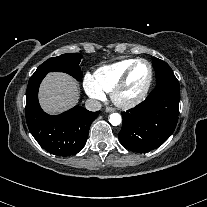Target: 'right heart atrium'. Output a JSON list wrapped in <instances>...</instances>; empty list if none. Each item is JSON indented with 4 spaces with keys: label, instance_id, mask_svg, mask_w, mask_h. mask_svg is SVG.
Wrapping results in <instances>:
<instances>
[{
    "label": "right heart atrium",
    "instance_id": "obj_1",
    "mask_svg": "<svg viewBox=\"0 0 207 207\" xmlns=\"http://www.w3.org/2000/svg\"><path fill=\"white\" fill-rule=\"evenodd\" d=\"M84 88L93 98L101 99L104 97V92L99 88V86L90 76H87L85 78Z\"/></svg>",
    "mask_w": 207,
    "mask_h": 207
}]
</instances>
